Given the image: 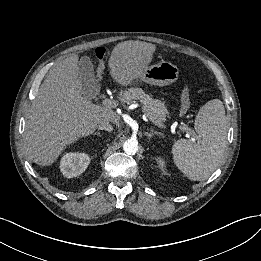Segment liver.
<instances>
[{"instance_id": "6515ba94", "label": "liver", "mask_w": 261, "mask_h": 261, "mask_svg": "<svg viewBox=\"0 0 261 261\" xmlns=\"http://www.w3.org/2000/svg\"><path fill=\"white\" fill-rule=\"evenodd\" d=\"M155 50V45L142 41L117 44L108 61L113 81L126 85L137 79L149 66ZM78 59L72 55L52 68L32 102L25 141L30 159L38 165H51L67 145L92 134L102 122L120 125L112 109L82 96Z\"/></svg>"}]
</instances>
